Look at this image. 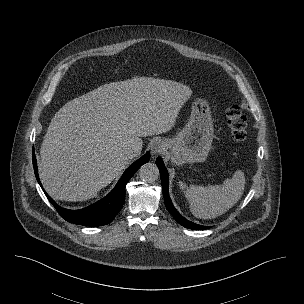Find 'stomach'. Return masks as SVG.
Instances as JSON below:
<instances>
[{"label":"stomach","instance_id":"0dacf381","mask_svg":"<svg viewBox=\"0 0 304 304\" xmlns=\"http://www.w3.org/2000/svg\"><path fill=\"white\" fill-rule=\"evenodd\" d=\"M213 120L209 104L204 99H196L191 115L174 138L166 140L174 164L202 162L208 156L213 141Z\"/></svg>","mask_w":304,"mask_h":304}]
</instances>
